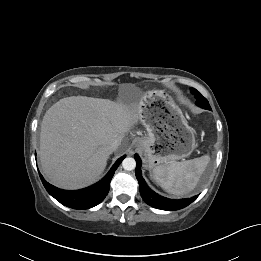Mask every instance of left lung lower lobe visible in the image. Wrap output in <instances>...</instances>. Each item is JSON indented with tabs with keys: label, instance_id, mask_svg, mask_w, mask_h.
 Returning <instances> with one entry per match:
<instances>
[{
	"label": "left lung lower lobe",
	"instance_id": "left-lung-lower-lobe-1",
	"mask_svg": "<svg viewBox=\"0 0 261 261\" xmlns=\"http://www.w3.org/2000/svg\"><path fill=\"white\" fill-rule=\"evenodd\" d=\"M135 160H136V178L139 182V190L140 194L143 198V200L150 206L157 208V209H162V210H167V211H174V210H179L182 209L189 204H191L198 196H194L190 199H180V200H173V199H168L165 197L160 196L159 194L155 193L152 191L148 186L146 185L142 173H141V159L137 154H135Z\"/></svg>",
	"mask_w": 261,
	"mask_h": 261
}]
</instances>
